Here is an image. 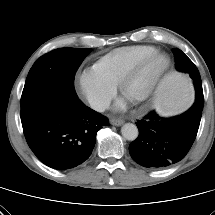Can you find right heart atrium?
Returning a JSON list of instances; mask_svg holds the SVG:
<instances>
[{
    "label": "right heart atrium",
    "mask_w": 215,
    "mask_h": 215,
    "mask_svg": "<svg viewBox=\"0 0 215 215\" xmlns=\"http://www.w3.org/2000/svg\"><path fill=\"white\" fill-rule=\"evenodd\" d=\"M75 86L78 93L98 111L106 109L116 93V85L94 67L80 71Z\"/></svg>",
    "instance_id": "obj_1"
}]
</instances>
